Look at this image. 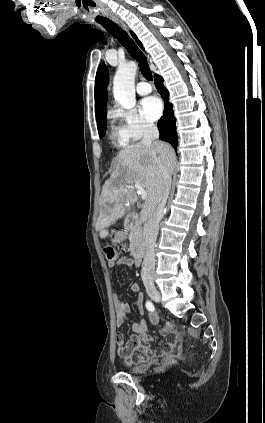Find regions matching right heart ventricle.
<instances>
[{"mask_svg": "<svg viewBox=\"0 0 265 423\" xmlns=\"http://www.w3.org/2000/svg\"><path fill=\"white\" fill-rule=\"evenodd\" d=\"M112 140L119 143L126 142V138L124 137L122 131L118 127H114L112 131Z\"/></svg>", "mask_w": 265, "mask_h": 423, "instance_id": "e07e8e85", "label": "right heart ventricle"}]
</instances>
